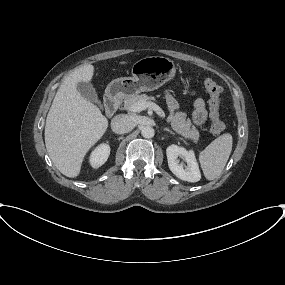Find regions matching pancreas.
Returning a JSON list of instances; mask_svg holds the SVG:
<instances>
[{"label":"pancreas","mask_w":285,"mask_h":285,"mask_svg":"<svg viewBox=\"0 0 285 285\" xmlns=\"http://www.w3.org/2000/svg\"><path fill=\"white\" fill-rule=\"evenodd\" d=\"M155 100L153 96H147L146 94L141 95H131L128 96L124 100V108L128 111H131V107L140 102H152ZM167 121L170 122L172 129L185 137L186 139H191L194 143H197L199 140V131L197 128L192 124L189 118H186V113L184 112H170V115L167 118Z\"/></svg>","instance_id":"pancreas-1"}]
</instances>
